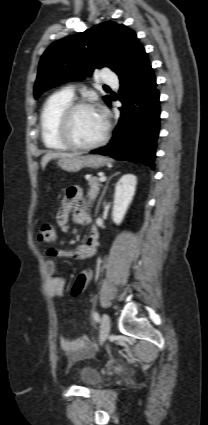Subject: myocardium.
<instances>
[{
    "label": "myocardium",
    "mask_w": 208,
    "mask_h": 425,
    "mask_svg": "<svg viewBox=\"0 0 208 425\" xmlns=\"http://www.w3.org/2000/svg\"><path fill=\"white\" fill-rule=\"evenodd\" d=\"M88 109V110H96L99 113L100 110L97 109L94 105L84 102V101H78V102H72L61 114L60 120H59V126H58V135L63 143H65L69 148L74 150H81V151H87L92 150L97 147L102 146L108 139L109 136V122L104 114L101 113V115L104 118V131L101 137L90 144H81L78 143L73 135H72V123L75 114L79 110Z\"/></svg>",
    "instance_id": "myocardium-1"
}]
</instances>
